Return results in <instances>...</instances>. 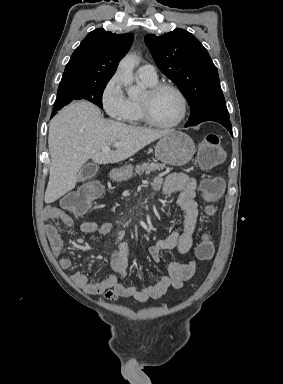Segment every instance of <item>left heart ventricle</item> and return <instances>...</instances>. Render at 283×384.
I'll return each instance as SVG.
<instances>
[{
  "mask_svg": "<svg viewBox=\"0 0 283 384\" xmlns=\"http://www.w3.org/2000/svg\"><path fill=\"white\" fill-rule=\"evenodd\" d=\"M147 90L141 99L146 98ZM150 110L153 118L162 124L174 122L181 113V102L171 90H162L150 99Z\"/></svg>",
  "mask_w": 283,
  "mask_h": 384,
  "instance_id": "obj_1",
  "label": "left heart ventricle"
}]
</instances>
